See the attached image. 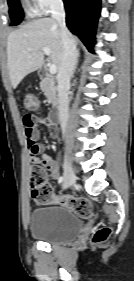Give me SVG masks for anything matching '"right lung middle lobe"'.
Returning <instances> with one entry per match:
<instances>
[{
    "label": "right lung middle lobe",
    "mask_w": 134,
    "mask_h": 281,
    "mask_svg": "<svg viewBox=\"0 0 134 281\" xmlns=\"http://www.w3.org/2000/svg\"><path fill=\"white\" fill-rule=\"evenodd\" d=\"M11 25H18L23 19V11L19 0H8Z\"/></svg>",
    "instance_id": "1"
}]
</instances>
